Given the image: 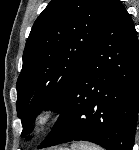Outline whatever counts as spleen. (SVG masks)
I'll use <instances>...</instances> for the list:
<instances>
[{"mask_svg": "<svg viewBox=\"0 0 139 150\" xmlns=\"http://www.w3.org/2000/svg\"><path fill=\"white\" fill-rule=\"evenodd\" d=\"M72 150H103L99 146H95L93 144L81 142L79 144L72 145Z\"/></svg>", "mask_w": 139, "mask_h": 150, "instance_id": "spleen-1", "label": "spleen"}]
</instances>
